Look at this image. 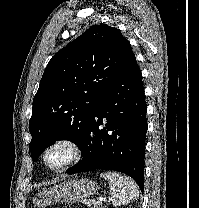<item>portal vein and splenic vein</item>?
Returning <instances> with one entry per match:
<instances>
[{
    "mask_svg": "<svg viewBox=\"0 0 199 208\" xmlns=\"http://www.w3.org/2000/svg\"><path fill=\"white\" fill-rule=\"evenodd\" d=\"M105 201L104 198H100L98 201H97V204H102V202Z\"/></svg>",
    "mask_w": 199,
    "mask_h": 208,
    "instance_id": "18ae733b",
    "label": "portal vein and splenic vein"
}]
</instances>
